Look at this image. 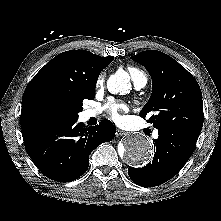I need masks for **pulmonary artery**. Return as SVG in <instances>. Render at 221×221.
Masks as SVG:
<instances>
[{
  "label": "pulmonary artery",
  "instance_id": "1",
  "mask_svg": "<svg viewBox=\"0 0 221 221\" xmlns=\"http://www.w3.org/2000/svg\"><path fill=\"white\" fill-rule=\"evenodd\" d=\"M147 82H148L147 77H139L134 82V85H135L136 89H142L147 85ZM85 115L88 118L93 117L96 115V112L94 110L89 109V110L85 111ZM153 137L158 138V132H154Z\"/></svg>",
  "mask_w": 221,
  "mask_h": 221
}]
</instances>
